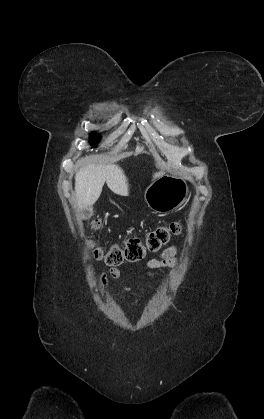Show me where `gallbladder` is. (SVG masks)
<instances>
[{
    "mask_svg": "<svg viewBox=\"0 0 264 419\" xmlns=\"http://www.w3.org/2000/svg\"><path fill=\"white\" fill-rule=\"evenodd\" d=\"M83 213H84L85 219H88L93 215V210L92 208H86L83 210Z\"/></svg>",
    "mask_w": 264,
    "mask_h": 419,
    "instance_id": "gallbladder-1",
    "label": "gallbladder"
}]
</instances>
